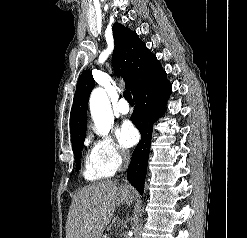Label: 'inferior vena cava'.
Segmentation results:
<instances>
[{
	"label": "inferior vena cava",
	"instance_id": "1",
	"mask_svg": "<svg viewBox=\"0 0 247 238\" xmlns=\"http://www.w3.org/2000/svg\"><path fill=\"white\" fill-rule=\"evenodd\" d=\"M121 154H122V158H123V162H124V169L123 170L125 171V169H127L128 164H129L130 155H129V152L125 151V150H123Z\"/></svg>",
	"mask_w": 247,
	"mask_h": 238
}]
</instances>
